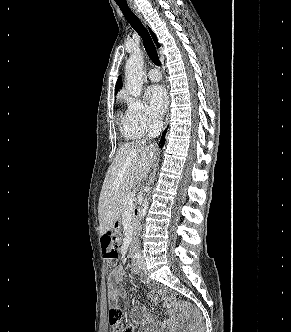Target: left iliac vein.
<instances>
[{"mask_svg": "<svg viewBox=\"0 0 291 332\" xmlns=\"http://www.w3.org/2000/svg\"><path fill=\"white\" fill-rule=\"evenodd\" d=\"M137 265L141 270H145L146 269V263H145L144 258H142V257L139 258L138 261H137Z\"/></svg>", "mask_w": 291, "mask_h": 332, "instance_id": "4c4485c4", "label": "left iliac vein"}]
</instances>
